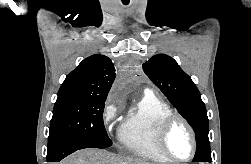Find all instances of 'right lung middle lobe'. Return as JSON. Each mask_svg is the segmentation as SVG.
Here are the masks:
<instances>
[{
	"label": "right lung middle lobe",
	"mask_w": 251,
	"mask_h": 164,
	"mask_svg": "<svg viewBox=\"0 0 251 164\" xmlns=\"http://www.w3.org/2000/svg\"><path fill=\"white\" fill-rule=\"evenodd\" d=\"M106 98L58 95L50 122L48 146L62 140H82L103 148L112 144L103 123Z\"/></svg>",
	"instance_id": "obj_1"
}]
</instances>
